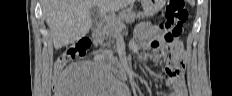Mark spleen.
Segmentation results:
<instances>
[{
  "mask_svg": "<svg viewBox=\"0 0 232 96\" xmlns=\"http://www.w3.org/2000/svg\"><path fill=\"white\" fill-rule=\"evenodd\" d=\"M189 3H190L191 5H194V4H195V1H194V0H189Z\"/></svg>",
  "mask_w": 232,
  "mask_h": 96,
  "instance_id": "3e777b00",
  "label": "spleen"
}]
</instances>
